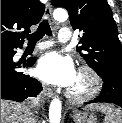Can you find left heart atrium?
Masks as SVG:
<instances>
[{
  "instance_id": "left-heart-atrium-1",
  "label": "left heart atrium",
  "mask_w": 122,
  "mask_h": 123,
  "mask_svg": "<svg viewBox=\"0 0 122 123\" xmlns=\"http://www.w3.org/2000/svg\"><path fill=\"white\" fill-rule=\"evenodd\" d=\"M36 75L47 84L70 89L76 80L77 72L70 58L50 52L39 59Z\"/></svg>"
}]
</instances>
